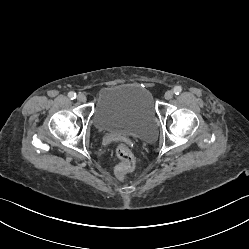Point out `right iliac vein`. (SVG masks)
Instances as JSON below:
<instances>
[{
	"label": "right iliac vein",
	"instance_id": "63e3f726",
	"mask_svg": "<svg viewBox=\"0 0 249 249\" xmlns=\"http://www.w3.org/2000/svg\"><path fill=\"white\" fill-rule=\"evenodd\" d=\"M77 100H78L79 102L84 103V102H86L87 98H86V96H85L84 94L80 93V94H78V96H77Z\"/></svg>",
	"mask_w": 249,
	"mask_h": 249
}]
</instances>
